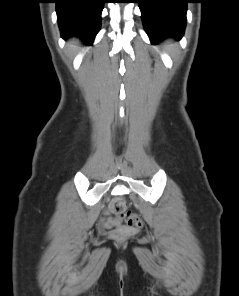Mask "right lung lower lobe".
Wrapping results in <instances>:
<instances>
[{
	"instance_id": "1",
	"label": "right lung lower lobe",
	"mask_w": 239,
	"mask_h": 296,
	"mask_svg": "<svg viewBox=\"0 0 239 296\" xmlns=\"http://www.w3.org/2000/svg\"><path fill=\"white\" fill-rule=\"evenodd\" d=\"M59 28L63 38L75 35L92 43L101 26L105 0H55Z\"/></svg>"
}]
</instances>
